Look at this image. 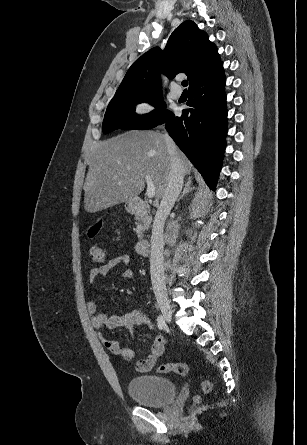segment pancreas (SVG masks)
I'll list each match as a JSON object with an SVG mask.
<instances>
[{
  "label": "pancreas",
  "instance_id": "cf45deb5",
  "mask_svg": "<svg viewBox=\"0 0 307 445\" xmlns=\"http://www.w3.org/2000/svg\"><path fill=\"white\" fill-rule=\"evenodd\" d=\"M142 214H144L145 216L144 220H152L151 216H148V210H143ZM135 225L137 227L136 233L138 237H143V231L144 229H146V227H144V223H142V220H136Z\"/></svg>",
  "mask_w": 307,
  "mask_h": 445
}]
</instances>
